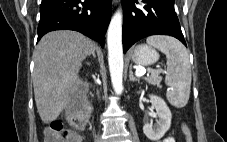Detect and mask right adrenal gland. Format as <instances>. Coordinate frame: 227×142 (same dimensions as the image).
Listing matches in <instances>:
<instances>
[{
    "mask_svg": "<svg viewBox=\"0 0 227 142\" xmlns=\"http://www.w3.org/2000/svg\"><path fill=\"white\" fill-rule=\"evenodd\" d=\"M92 56H93L94 58H96L95 50H93Z\"/></svg>",
    "mask_w": 227,
    "mask_h": 142,
    "instance_id": "2a0ac1e0",
    "label": "right adrenal gland"
}]
</instances>
